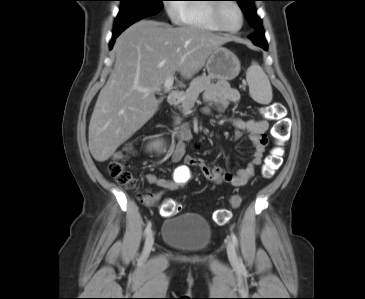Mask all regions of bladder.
<instances>
[{"mask_svg":"<svg viewBox=\"0 0 365 299\" xmlns=\"http://www.w3.org/2000/svg\"><path fill=\"white\" fill-rule=\"evenodd\" d=\"M161 240L169 247L189 254L205 252L212 242L209 222L201 215L183 213L163 223Z\"/></svg>","mask_w":365,"mask_h":299,"instance_id":"1","label":"bladder"}]
</instances>
